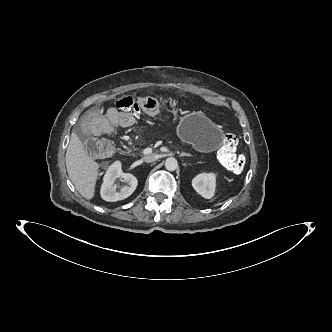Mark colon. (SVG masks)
Wrapping results in <instances>:
<instances>
[{
  "label": "colon",
  "instance_id": "5ec220e1",
  "mask_svg": "<svg viewBox=\"0 0 332 332\" xmlns=\"http://www.w3.org/2000/svg\"><path fill=\"white\" fill-rule=\"evenodd\" d=\"M116 107L120 111H127L130 117H137L140 123H147L152 120V113L147 111L141 112L138 105V100L132 97H123L117 103ZM238 140L233 134H225L222 139L221 148L219 151V161L221 164L232 173H240L245 164L243 155L237 153ZM87 151L94 156L103 157L109 154L110 145L103 141L87 142Z\"/></svg>",
  "mask_w": 332,
  "mask_h": 332
}]
</instances>
